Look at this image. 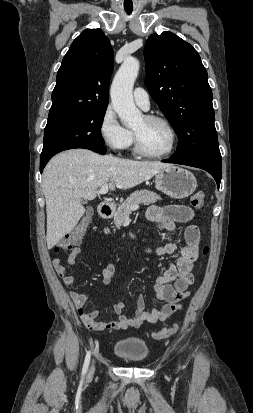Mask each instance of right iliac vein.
I'll use <instances>...</instances> for the list:
<instances>
[{"mask_svg":"<svg viewBox=\"0 0 253 413\" xmlns=\"http://www.w3.org/2000/svg\"><path fill=\"white\" fill-rule=\"evenodd\" d=\"M94 372H95V365H94V362H93V363H92V366H91V368H90L88 377L91 378V377L93 376Z\"/></svg>","mask_w":253,"mask_h":413,"instance_id":"1","label":"right iliac vein"}]
</instances>
